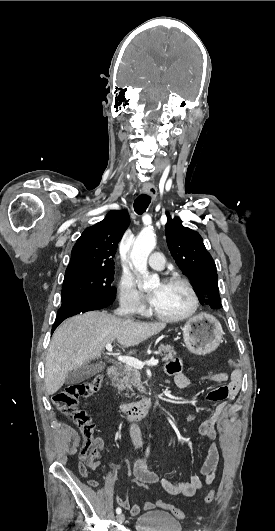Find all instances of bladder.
Listing matches in <instances>:
<instances>
[{
	"label": "bladder",
	"instance_id": "bladder-1",
	"mask_svg": "<svg viewBox=\"0 0 275 531\" xmlns=\"http://www.w3.org/2000/svg\"><path fill=\"white\" fill-rule=\"evenodd\" d=\"M134 531H181V521L167 511L153 510L137 516Z\"/></svg>",
	"mask_w": 275,
	"mask_h": 531
}]
</instances>
